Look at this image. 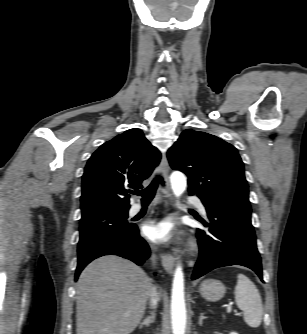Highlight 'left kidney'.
<instances>
[{"instance_id": "1", "label": "left kidney", "mask_w": 307, "mask_h": 334, "mask_svg": "<svg viewBox=\"0 0 307 334\" xmlns=\"http://www.w3.org/2000/svg\"><path fill=\"white\" fill-rule=\"evenodd\" d=\"M230 334H238V333H236V332H231Z\"/></svg>"}]
</instances>
